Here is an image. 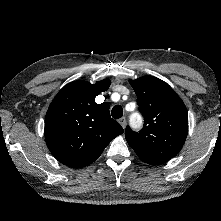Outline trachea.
I'll use <instances>...</instances> for the list:
<instances>
[{
	"instance_id": "trachea-1",
	"label": "trachea",
	"mask_w": 221,
	"mask_h": 221,
	"mask_svg": "<svg viewBox=\"0 0 221 221\" xmlns=\"http://www.w3.org/2000/svg\"><path fill=\"white\" fill-rule=\"evenodd\" d=\"M111 115L114 119H119L123 115V108L120 105H116L111 110Z\"/></svg>"
}]
</instances>
